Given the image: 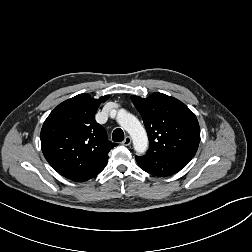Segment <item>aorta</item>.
<instances>
[{"mask_svg": "<svg viewBox=\"0 0 252 252\" xmlns=\"http://www.w3.org/2000/svg\"><path fill=\"white\" fill-rule=\"evenodd\" d=\"M117 121L130 134L135 151L143 154L148 147V137L140 121L125 110L119 111Z\"/></svg>", "mask_w": 252, "mask_h": 252, "instance_id": "obj_1", "label": "aorta"}]
</instances>
